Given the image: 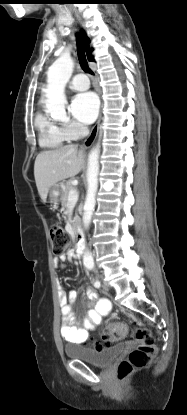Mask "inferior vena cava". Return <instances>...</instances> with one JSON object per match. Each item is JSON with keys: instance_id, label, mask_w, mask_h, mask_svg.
<instances>
[{"instance_id": "inferior-vena-cava-1", "label": "inferior vena cava", "mask_w": 187, "mask_h": 415, "mask_svg": "<svg viewBox=\"0 0 187 415\" xmlns=\"http://www.w3.org/2000/svg\"><path fill=\"white\" fill-rule=\"evenodd\" d=\"M79 131H80V134H81L82 136H86V135H88V134H89V129H88V127H87V126H85V125H80V127H79Z\"/></svg>"}]
</instances>
